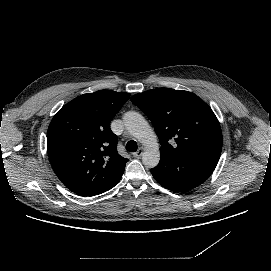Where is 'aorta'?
Instances as JSON below:
<instances>
[{
  "label": "aorta",
  "mask_w": 271,
  "mask_h": 271,
  "mask_svg": "<svg viewBox=\"0 0 271 271\" xmlns=\"http://www.w3.org/2000/svg\"><path fill=\"white\" fill-rule=\"evenodd\" d=\"M124 124L127 131L144 147L143 164L147 167L157 166L160 161V146L154 129L138 112H127Z\"/></svg>",
  "instance_id": "aorta-1"
}]
</instances>
